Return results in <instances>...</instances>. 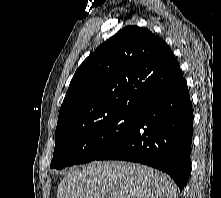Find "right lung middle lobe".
I'll list each match as a JSON object with an SVG mask.
<instances>
[{
    "instance_id": "obj_1",
    "label": "right lung middle lobe",
    "mask_w": 221,
    "mask_h": 198,
    "mask_svg": "<svg viewBox=\"0 0 221 198\" xmlns=\"http://www.w3.org/2000/svg\"><path fill=\"white\" fill-rule=\"evenodd\" d=\"M137 116L117 113L57 136L50 168L62 169L95 160L132 130Z\"/></svg>"
}]
</instances>
